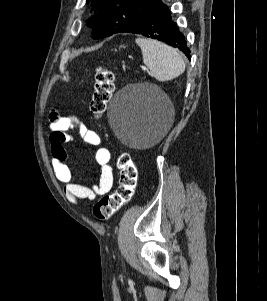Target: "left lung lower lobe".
<instances>
[{"instance_id": "left-lung-lower-lobe-1", "label": "left lung lower lobe", "mask_w": 267, "mask_h": 301, "mask_svg": "<svg viewBox=\"0 0 267 301\" xmlns=\"http://www.w3.org/2000/svg\"><path fill=\"white\" fill-rule=\"evenodd\" d=\"M119 32L141 34L152 39L163 41L181 50L189 59L191 58L184 35L179 31L177 24L172 20L167 5L162 2L151 9L137 22L125 26Z\"/></svg>"}]
</instances>
